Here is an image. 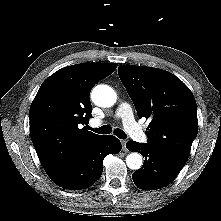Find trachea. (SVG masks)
I'll list each match as a JSON object with an SVG mask.
<instances>
[{"label": "trachea", "instance_id": "3493384b", "mask_svg": "<svg viewBox=\"0 0 221 221\" xmlns=\"http://www.w3.org/2000/svg\"><path fill=\"white\" fill-rule=\"evenodd\" d=\"M88 129L91 130V131H94L95 133H98V134H109V133H111V128L108 125H104V126H101L99 128H96V129H93L92 127L88 126ZM114 134L120 139H125L126 138L125 132L121 129H118V128L115 129Z\"/></svg>", "mask_w": 221, "mask_h": 221}]
</instances>
